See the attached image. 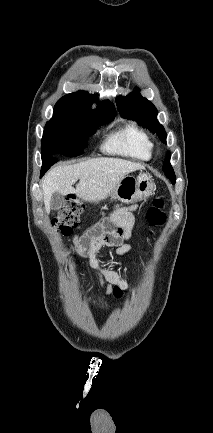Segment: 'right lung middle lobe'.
<instances>
[{
	"instance_id": "dd1d6c3e",
	"label": "right lung middle lobe",
	"mask_w": 213,
	"mask_h": 433,
	"mask_svg": "<svg viewBox=\"0 0 213 433\" xmlns=\"http://www.w3.org/2000/svg\"><path fill=\"white\" fill-rule=\"evenodd\" d=\"M110 120H92L83 115L54 108V114L46 123L42 138V159L52 156H78L87 147V139L96 127Z\"/></svg>"
}]
</instances>
